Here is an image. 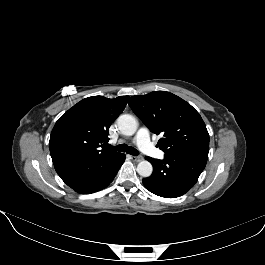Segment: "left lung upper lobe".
I'll use <instances>...</instances> for the list:
<instances>
[{
	"instance_id": "1",
	"label": "left lung upper lobe",
	"mask_w": 265,
	"mask_h": 265,
	"mask_svg": "<svg viewBox=\"0 0 265 265\" xmlns=\"http://www.w3.org/2000/svg\"><path fill=\"white\" fill-rule=\"evenodd\" d=\"M128 104L151 132L163 135L157 146L165 154L209 147V134L200 114L180 97L155 91L133 96Z\"/></svg>"
}]
</instances>
